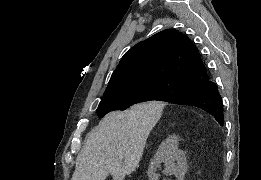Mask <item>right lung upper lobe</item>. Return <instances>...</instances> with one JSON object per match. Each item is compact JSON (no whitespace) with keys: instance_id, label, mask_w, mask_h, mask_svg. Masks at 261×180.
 <instances>
[{"instance_id":"right-lung-upper-lobe-1","label":"right lung upper lobe","mask_w":261,"mask_h":180,"mask_svg":"<svg viewBox=\"0 0 261 180\" xmlns=\"http://www.w3.org/2000/svg\"><path fill=\"white\" fill-rule=\"evenodd\" d=\"M208 77L196 46L178 30H164L124 54L105 93L159 80L201 83Z\"/></svg>"}]
</instances>
